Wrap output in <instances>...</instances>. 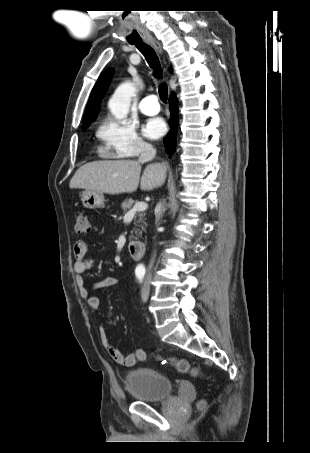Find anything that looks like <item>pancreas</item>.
<instances>
[{"label": "pancreas", "instance_id": "1", "mask_svg": "<svg viewBox=\"0 0 310 453\" xmlns=\"http://www.w3.org/2000/svg\"><path fill=\"white\" fill-rule=\"evenodd\" d=\"M134 203H136V202H135L133 199L130 198V199H128V200H125V201L121 204V208H122V210H123L124 212H126L127 210H130V209L132 208V206H133ZM144 216H145V213H144V212L139 213V214H138V220L135 221V224H137V223H142V222L144 223V219H143ZM142 229H143V227H142ZM137 232H139L140 235H141V233H142V232L139 231V229H137V230L135 231V233H137ZM131 237H133V236H131Z\"/></svg>", "mask_w": 310, "mask_h": 453}]
</instances>
